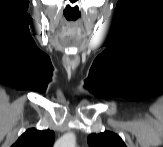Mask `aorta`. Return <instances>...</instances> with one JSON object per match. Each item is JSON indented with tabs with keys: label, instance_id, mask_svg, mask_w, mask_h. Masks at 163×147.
I'll return each instance as SVG.
<instances>
[{
	"label": "aorta",
	"instance_id": "762f6f07",
	"mask_svg": "<svg viewBox=\"0 0 163 147\" xmlns=\"http://www.w3.org/2000/svg\"><path fill=\"white\" fill-rule=\"evenodd\" d=\"M75 144V135L72 133H67L55 143V147H75Z\"/></svg>",
	"mask_w": 163,
	"mask_h": 147
}]
</instances>
